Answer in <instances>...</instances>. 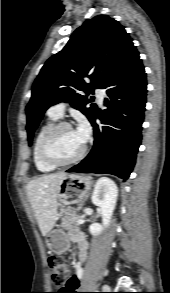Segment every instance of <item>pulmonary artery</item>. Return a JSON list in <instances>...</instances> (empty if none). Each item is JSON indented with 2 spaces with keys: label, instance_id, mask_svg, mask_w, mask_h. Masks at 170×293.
Instances as JSON below:
<instances>
[{
  "label": "pulmonary artery",
  "instance_id": "pulmonary-artery-1",
  "mask_svg": "<svg viewBox=\"0 0 170 293\" xmlns=\"http://www.w3.org/2000/svg\"><path fill=\"white\" fill-rule=\"evenodd\" d=\"M96 95L100 100V103H102L104 97H105V91L103 89H97L96 90ZM64 109H65V103L60 102L57 103L53 106H51L48 110V114L57 118L62 117L63 113H64Z\"/></svg>",
  "mask_w": 170,
  "mask_h": 293
}]
</instances>
